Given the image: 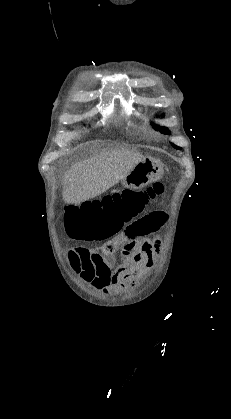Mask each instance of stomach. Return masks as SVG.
<instances>
[{"instance_id": "stomach-1", "label": "stomach", "mask_w": 231, "mask_h": 419, "mask_svg": "<svg viewBox=\"0 0 231 419\" xmlns=\"http://www.w3.org/2000/svg\"><path fill=\"white\" fill-rule=\"evenodd\" d=\"M163 173V166L159 161L153 158H144L121 180V183L126 188L141 189L161 179Z\"/></svg>"}]
</instances>
